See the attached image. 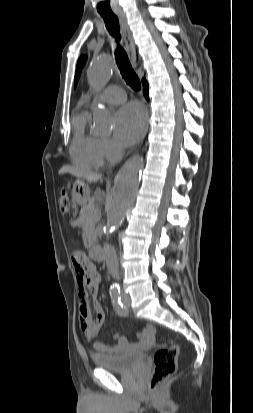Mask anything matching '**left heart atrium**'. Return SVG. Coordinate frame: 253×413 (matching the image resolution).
Returning a JSON list of instances; mask_svg holds the SVG:
<instances>
[{
    "label": "left heart atrium",
    "instance_id": "left-heart-atrium-1",
    "mask_svg": "<svg viewBox=\"0 0 253 413\" xmlns=\"http://www.w3.org/2000/svg\"><path fill=\"white\" fill-rule=\"evenodd\" d=\"M146 127V114L138 103L123 106L116 115L115 135L122 145L136 142Z\"/></svg>",
    "mask_w": 253,
    "mask_h": 413
}]
</instances>
